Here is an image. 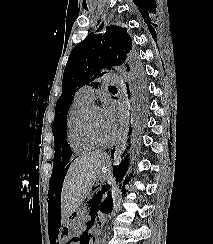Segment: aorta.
I'll return each instance as SVG.
<instances>
[{"instance_id": "obj_1", "label": "aorta", "mask_w": 213, "mask_h": 244, "mask_svg": "<svg viewBox=\"0 0 213 244\" xmlns=\"http://www.w3.org/2000/svg\"><path fill=\"white\" fill-rule=\"evenodd\" d=\"M127 81V77L124 74H121L119 81V94L121 100L119 116L120 128L115 142V152L113 159V165L115 167L119 166L122 161V156L127 147L130 132V104L127 94Z\"/></svg>"}]
</instances>
